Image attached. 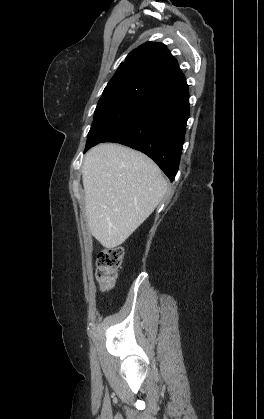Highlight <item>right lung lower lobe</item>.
Returning a JSON list of instances; mask_svg holds the SVG:
<instances>
[{
    "label": "right lung lower lobe",
    "instance_id": "right-lung-lower-lobe-1",
    "mask_svg": "<svg viewBox=\"0 0 264 419\" xmlns=\"http://www.w3.org/2000/svg\"><path fill=\"white\" fill-rule=\"evenodd\" d=\"M188 116V88L155 96L143 102L124 125L102 142L120 143L145 153L173 181Z\"/></svg>",
    "mask_w": 264,
    "mask_h": 419
}]
</instances>
